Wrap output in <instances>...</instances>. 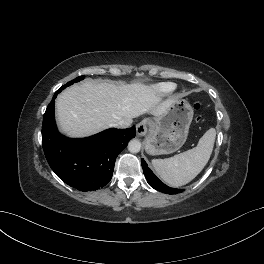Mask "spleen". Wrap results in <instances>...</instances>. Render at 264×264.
<instances>
[{"instance_id":"spleen-1","label":"spleen","mask_w":264,"mask_h":264,"mask_svg":"<svg viewBox=\"0 0 264 264\" xmlns=\"http://www.w3.org/2000/svg\"><path fill=\"white\" fill-rule=\"evenodd\" d=\"M216 130L210 128L197 146L166 159H153L157 174L171 186H182L193 180L207 164L215 142Z\"/></svg>"}]
</instances>
